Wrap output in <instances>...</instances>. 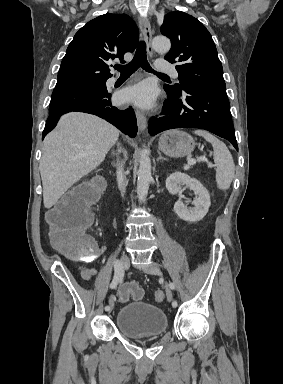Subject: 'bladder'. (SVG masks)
I'll return each mask as SVG.
<instances>
[{
  "mask_svg": "<svg viewBox=\"0 0 283 384\" xmlns=\"http://www.w3.org/2000/svg\"><path fill=\"white\" fill-rule=\"evenodd\" d=\"M115 324L126 338L163 336L167 331L168 314L163 308L139 299L122 305Z\"/></svg>",
  "mask_w": 283,
  "mask_h": 384,
  "instance_id": "1",
  "label": "bladder"
}]
</instances>
